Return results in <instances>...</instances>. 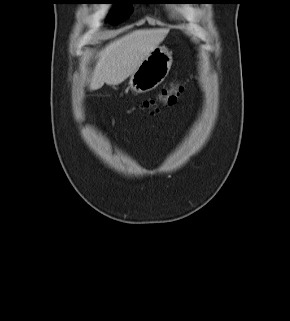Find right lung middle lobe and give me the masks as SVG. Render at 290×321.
I'll return each instance as SVG.
<instances>
[{
    "mask_svg": "<svg viewBox=\"0 0 290 321\" xmlns=\"http://www.w3.org/2000/svg\"><path fill=\"white\" fill-rule=\"evenodd\" d=\"M109 3L120 4L109 15L110 21L123 20L132 13V6L128 0H111Z\"/></svg>",
    "mask_w": 290,
    "mask_h": 321,
    "instance_id": "1",
    "label": "right lung middle lobe"
}]
</instances>
